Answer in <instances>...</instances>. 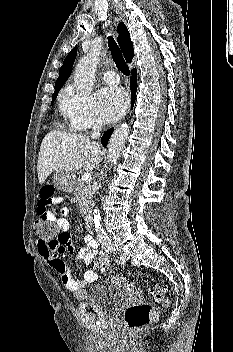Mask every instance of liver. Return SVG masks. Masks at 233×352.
I'll return each instance as SVG.
<instances>
[{"mask_svg": "<svg viewBox=\"0 0 233 352\" xmlns=\"http://www.w3.org/2000/svg\"><path fill=\"white\" fill-rule=\"evenodd\" d=\"M102 155L100 145L83 135L51 131L42 140L39 151V183L43 184L53 171H91L99 165Z\"/></svg>", "mask_w": 233, "mask_h": 352, "instance_id": "1", "label": "liver"}]
</instances>
